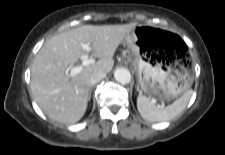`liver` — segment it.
<instances>
[{"mask_svg": "<svg viewBox=\"0 0 225 155\" xmlns=\"http://www.w3.org/2000/svg\"><path fill=\"white\" fill-rule=\"evenodd\" d=\"M136 26L83 25L47 40L33 61L30 82L32 96L44 114L64 124L78 122L87 109L92 74L112 70L117 47ZM87 43L99 60L70 76V66L88 55L82 49Z\"/></svg>", "mask_w": 225, "mask_h": 155, "instance_id": "6515ba94", "label": "liver"}]
</instances>
